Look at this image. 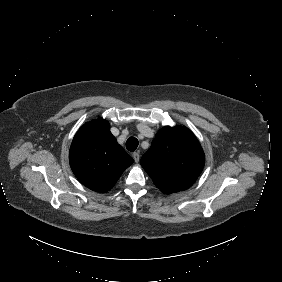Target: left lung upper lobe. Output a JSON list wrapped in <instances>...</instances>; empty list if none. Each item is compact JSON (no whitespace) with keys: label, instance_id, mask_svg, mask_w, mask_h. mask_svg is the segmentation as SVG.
<instances>
[{"label":"left lung upper lobe","instance_id":"left-lung-upper-lobe-1","mask_svg":"<svg viewBox=\"0 0 282 282\" xmlns=\"http://www.w3.org/2000/svg\"><path fill=\"white\" fill-rule=\"evenodd\" d=\"M140 163L154 184L170 194L193 185L202 172L205 156L188 128L166 126L158 131Z\"/></svg>","mask_w":282,"mask_h":282}]
</instances>
